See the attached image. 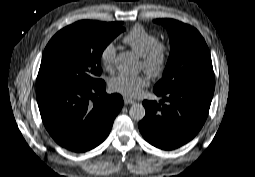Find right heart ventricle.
I'll use <instances>...</instances> for the list:
<instances>
[{"label": "right heart ventricle", "instance_id": "e07e8e85", "mask_svg": "<svg viewBox=\"0 0 255 177\" xmlns=\"http://www.w3.org/2000/svg\"><path fill=\"white\" fill-rule=\"evenodd\" d=\"M123 41L137 55L142 57L158 41V36L143 26L136 25L124 36Z\"/></svg>", "mask_w": 255, "mask_h": 177}]
</instances>
